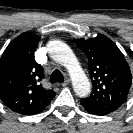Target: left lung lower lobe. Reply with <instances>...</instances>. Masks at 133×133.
I'll use <instances>...</instances> for the list:
<instances>
[{
    "label": "left lung lower lobe",
    "mask_w": 133,
    "mask_h": 133,
    "mask_svg": "<svg viewBox=\"0 0 133 133\" xmlns=\"http://www.w3.org/2000/svg\"><path fill=\"white\" fill-rule=\"evenodd\" d=\"M82 106L88 113H91V114H96V115H99V116H104V115L108 114L107 112H103V111H100V110H96V109L90 108V107H88V106H86L84 104H82Z\"/></svg>",
    "instance_id": "left-lung-lower-lobe-1"
}]
</instances>
